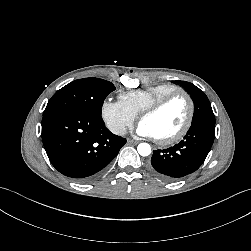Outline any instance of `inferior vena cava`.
Instances as JSON below:
<instances>
[{"label":"inferior vena cava","mask_w":251,"mask_h":251,"mask_svg":"<svg viewBox=\"0 0 251 251\" xmlns=\"http://www.w3.org/2000/svg\"><path fill=\"white\" fill-rule=\"evenodd\" d=\"M112 132L116 135H120V136H123L127 133V129L125 126H119V127H116L112 130Z\"/></svg>","instance_id":"1"}]
</instances>
